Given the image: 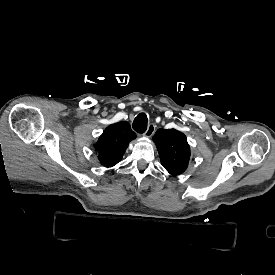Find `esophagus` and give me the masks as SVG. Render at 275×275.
Here are the masks:
<instances>
[{
    "label": "esophagus",
    "mask_w": 275,
    "mask_h": 275,
    "mask_svg": "<svg viewBox=\"0 0 275 275\" xmlns=\"http://www.w3.org/2000/svg\"><path fill=\"white\" fill-rule=\"evenodd\" d=\"M155 129H156L155 124L151 123V124L148 126L146 132L144 133V136H146V137H151V136L154 134Z\"/></svg>",
    "instance_id": "1"
}]
</instances>
